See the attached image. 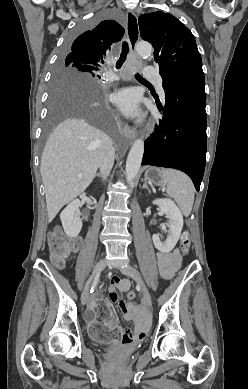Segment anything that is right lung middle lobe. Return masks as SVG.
Here are the masks:
<instances>
[{
	"label": "right lung middle lobe",
	"mask_w": 248,
	"mask_h": 389,
	"mask_svg": "<svg viewBox=\"0 0 248 389\" xmlns=\"http://www.w3.org/2000/svg\"><path fill=\"white\" fill-rule=\"evenodd\" d=\"M98 18H101V16ZM90 26V23H81L78 26L76 33H79ZM95 77V71L83 66L71 67L69 65H64L63 59H61L55 72V83L57 85H66L68 83H92ZM72 117H82L102 125L104 124L107 115L104 109L99 105L89 103L79 104L72 101H58L53 97L49 106V119L45 136L49 134L57 123Z\"/></svg>",
	"instance_id": "right-lung-middle-lobe-1"
}]
</instances>
